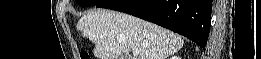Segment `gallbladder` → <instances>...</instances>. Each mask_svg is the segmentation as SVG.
I'll return each mask as SVG.
<instances>
[{
  "mask_svg": "<svg viewBox=\"0 0 261 59\" xmlns=\"http://www.w3.org/2000/svg\"><path fill=\"white\" fill-rule=\"evenodd\" d=\"M120 59H127L126 55H121Z\"/></svg>",
  "mask_w": 261,
  "mask_h": 59,
  "instance_id": "1",
  "label": "gallbladder"
}]
</instances>
